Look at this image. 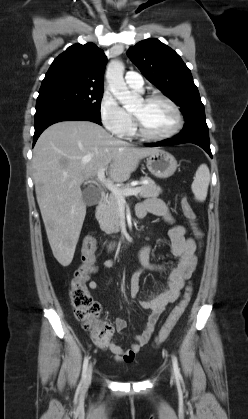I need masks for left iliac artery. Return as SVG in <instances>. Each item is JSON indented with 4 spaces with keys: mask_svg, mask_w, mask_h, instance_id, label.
Wrapping results in <instances>:
<instances>
[{
    "mask_svg": "<svg viewBox=\"0 0 248 419\" xmlns=\"http://www.w3.org/2000/svg\"><path fill=\"white\" fill-rule=\"evenodd\" d=\"M172 362H173V369H174V373H175L176 377H181L180 369L178 367V361H177V358L174 355L172 356Z\"/></svg>",
    "mask_w": 248,
    "mask_h": 419,
    "instance_id": "left-iliac-artery-1",
    "label": "left iliac artery"
}]
</instances>
